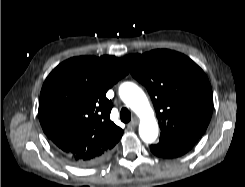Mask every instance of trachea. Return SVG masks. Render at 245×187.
I'll return each instance as SVG.
<instances>
[{
	"instance_id": "1",
	"label": "trachea",
	"mask_w": 245,
	"mask_h": 187,
	"mask_svg": "<svg viewBox=\"0 0 245 187\" xmlns=\"http://www.w3.org/2000/svg\"><path fill=\"white\" fill-rule=\"evenodd\" d=\"M120 119L124 123H128L131 120V113L127 108H122L120 111Z\"/></svg>"
}]
</instances>
